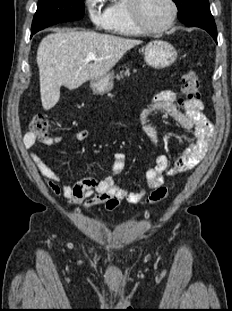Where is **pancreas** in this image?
Instances as JSON below:
<instances>
[{"mask_svg": "<svg viewBox=\"0 0 232 311\" xmlns=\"http://www.w3.org/2000/svg\"><path fill=\"white\" fill-rule=\"evenodd\" d=\"M124 75L125 76H129L130 75V70L128 68H126L125 71H123V70L120 71V73L116 75V79L120 80V79H122L124 77Z\"/></svg>", "mask_w": 232, "mask_h": 311, "instance_id": "pancreas-1", "label": "pancreas"}]
</instances>
